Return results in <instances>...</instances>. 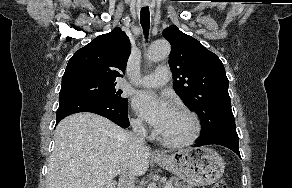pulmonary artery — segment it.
I'll use <instances>...</instances> for the list:
<instances>
[{
  "mask_svg": "<svg viewBox=\"0 0 292 188\" xmlns=\"http://www.w3.org/2000/svg\"><path fill=\"white\" fill-rule=\"evenodd\" d=\"M170 78V71L167 67L161 66L156 70L136 80L134 83L143 87H160Z\"/></svg>",
  "mask_w": 292,
  "mask_h": 188,
  "instance_id": "pulmonary-artery-1",
  "label": "pulmonary artery"
}]
</instances>
